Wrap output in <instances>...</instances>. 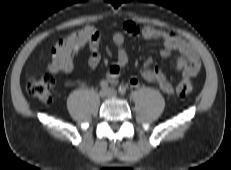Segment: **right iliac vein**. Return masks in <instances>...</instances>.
Listing matches in <instances>:
<instances>
[{"mask_svg":"<svg viewBox=\"0 0 231 170\" xmlns=\"http://www.w3.org/2000/svg\"><path fill=\"white\" fill-rule=\"evenodd\" d=\"M99 96L101 97V98H107L108 96H109V94H108V91L106 90V89H102L100 92H99Z\"/></svg>","mask_w":231,"mask_h":170,"instance_id":"1","label":"right iliac vein"}]
</instances>
